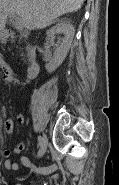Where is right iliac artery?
<instances>
[{"label": "right iliac artery", "instance_id": "1", "mask_svg": "<svg viewBox=\"0 0 119 185\" xmlns=\"http://www.w3.org/2000/svg\"><path fill=\"white\" fill-rule=\"evenodd\" d=\"M38 142H39V145H41L42 143V138L40 136H38Z\"/></svg>", "mask_w": 119, "mask_h": 185}]
</instances>
